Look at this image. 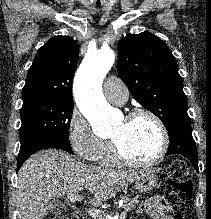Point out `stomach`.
<instances>
[{
  "label": "stomach",
  "mask_w": 211,
  "mask_h": 219,
  "mask_svg": "<svg viewBox=\"0 0 211 219\" xmlns=\"http://www.w3.org/2000/svg\"><path fill=\"white\" fill-rule=\"evenodd\" d=\"M158 176L151 169H142L141 174L135 180L134 188L138 192H147L158 185Z\"/></svg>",
  "instance_id": "0dacf381"
}]
</instances>
